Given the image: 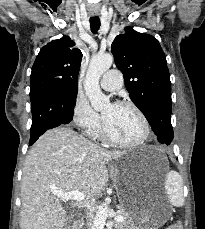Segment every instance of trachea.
Masks as SVG:
<instances>
[{
	"label": "trachea",
	"mask_w": 205,
	"mask_h": 229,
	"mask_svg": "<svg viewBox=\"0 0 205 229\" xmlns=\"http://www.w3.org/2000/svg\"><path fill=\"white\" fill-rule=\"evenodd\" d=\"M90 27H91L92 33L96 34L98 32V30L100 28L99 17L95 16V17L90 18Z\"/></svg>",
	"instance_id": "1"
}]
</instances>
